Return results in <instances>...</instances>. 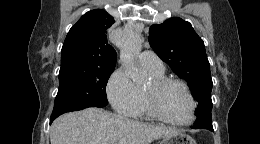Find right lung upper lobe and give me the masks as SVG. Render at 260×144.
Returning a JSON list of instances; mask_svg holds the SVG:
<instances>
[{"mask_svg":"<svg viewBox=\"0 0 260 144\" xmlns=\"http://www.w3.org/2000/svg\"><path fill=\"white\" fill-rule=\"evenodd\" d=\"M114 22V18L101 9L85 13L66 36L60 70L114 68L117 54L107 43L106 35Z\"/></svg>","mask_w":260,"mask_h":144,"instance_id":"right-lung-upper-lobe-1","label":"right lung upper lobe"}]
</instances>
